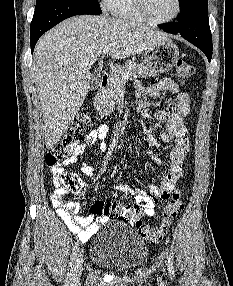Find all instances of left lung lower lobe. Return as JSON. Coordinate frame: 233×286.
I'll use <instances>...</instances> for the list:
<instances>
[{"label":"left lung lower lobe","instance_id":"1","mask_svg":"<svg viewBox=\"0 0 233 286\" xmlns=\"http://www.w3.org/2000/svg\"><path fill=\"white\" fill-rule=\"evenodd\" d=\"M208 2L196 7L184 19L158 25L171 34H180L183 38L194 44L207 56L212 58V35L208 21Z\"/></svg>","mask_w":233,"mask_h":286}]
</instances>
